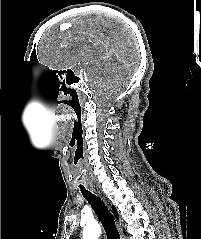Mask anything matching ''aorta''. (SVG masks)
<instances>
[{
	"label": "aorta",
	"instance_id": "1",
	"mask_svg": "<svg viewBox=\"0 0 201 239\" xmlns=\"http://www.w3.org/2000/svg\"><path fill=\"white\" fill-rule=\"evenodd\" d=\"M101 227L97 223L87 224L83 230V239H98Z\"/></svg>",
	"mask_w": 201,
	"mask_h": 239
}]
</instances>
